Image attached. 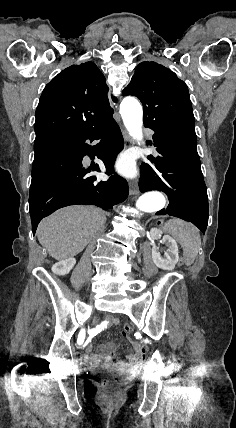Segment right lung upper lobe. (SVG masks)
I'll return each instance as SVG.
<instances>
[{
	"label": "right lung upper lobe",
	"mask_w": 236,
	"mask_h": 428,
	"mask_svg": "<svg viewBox=\"0 0 236 428\" xmlns=\"http://www.w3.org/2000/svg\"><path fill=\"white\" fill-rule=\"evenodd\" d=\"M105 77L89 61L60 72L44 88L35 121V144L97 127L112 117ZM113 101L116 100L112 96Z\"/></svg>",
	"instance_id": "right-lung-upper-lobe-1"
}]
</instances>
